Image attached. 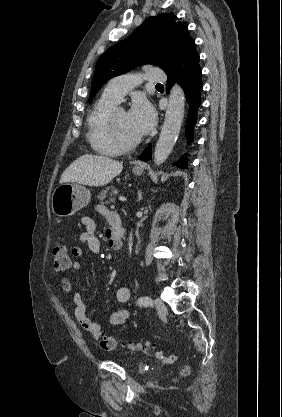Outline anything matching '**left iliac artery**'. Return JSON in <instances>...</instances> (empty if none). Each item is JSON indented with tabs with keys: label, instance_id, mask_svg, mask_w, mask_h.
Returning a JSON list of instances; mask_svg holds the SVG:
<instances>
[{
	"label": "left iliac artery",
	"instance_id": "obj_1",
	"mask_svg": "<svg viewBox=\"0 0 282 417\" xmlns=\"http://www.w3.org/2000/svg\"><path fill=\"white\" fill-rule=\"evenodd\" d=\"M138 304L140 305V306H145V307H147V306H152L153 304H152V299L150 298V297H148V296H143V297H140L139 299H138Z\"/></svg>",
	"mask_w": 282,
	"mask_h": 417
}]
</instances>
